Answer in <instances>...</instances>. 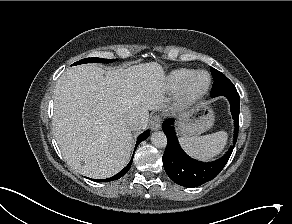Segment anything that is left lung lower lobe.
<instances>
[{
  "mask_svg": "<svg viewBox=\"0 0 292 224\" xmlns=\"http://www.w3.org/2000/svg\"><path fill=\"white\" fill-rule=\"evenodd\" d=\"M221 96H225L230 102L231 113L235 124V133L233 146L230 147L223 157L214 162L204 163L190 158L179 145L173 127L174 120L167 119L162 124L168 141L162 158L163 165L168 176L181 186L193 188L212 180L224 168L231 156L239 129L240 96L237 90L226 92Z\"/></svg>",
  "mask_w": 292,
  "mask_h": 224,
  "instance_id": "obj_1",
  "label": "left lung lower lobe"
}]
</instances>
